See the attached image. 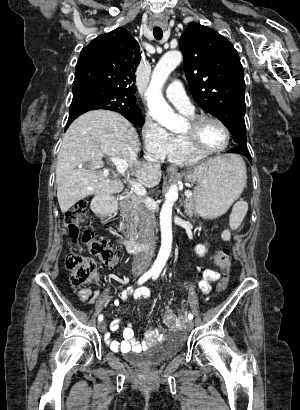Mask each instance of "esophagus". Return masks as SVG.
<instances>
[{
	"instance_id": "34e87169",
	"label": "esophagus",
	"mask_w": 300,
	"mask_h": 410,
	"mask_svg": "<svg viewBox=\"0 0 300 410\" xmlns=\"http://www.w3.org/2000/svg\"><path fill=\"white\" fill-rule=\"evenodd\" d=\"M167 172H168L169 174H176L178 171H177V168H176L175 166H169V167L167 168Z\"/></svg>"
}]
</instances>
